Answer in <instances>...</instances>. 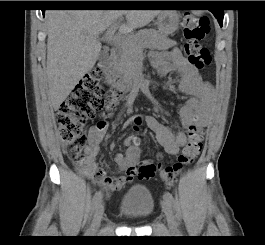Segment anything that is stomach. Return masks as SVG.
I'll return each mask as SVG.
<instances>
[{"label":"stomach","instance_id":"1","mask_svg":"<svg viewBox=\"0 0 265 245\" xmlns=\"http://www.w3.org/2000/svg\"><path fill=\"white\" fill-rule=\"evenodd\" d=\"M179 26V15L176 11H164L157 17L159 33L167 36L175 32Z\"/></svg>","mask_w":265,"mask_h":245}]
</instances>
